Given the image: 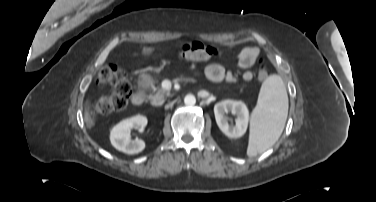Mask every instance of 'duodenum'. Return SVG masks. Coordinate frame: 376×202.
Masks as SVG:
<instances>
[{"mask_svg": "<svg viewBox=\"0 0 376 202\" xmlns=\"http://www.w3.org/2000/svg\"><path fill=\"white\" fill-rule=\"evenodd\" d=\"M144 101V92L142 88L135 91L131 97V102L134 106H139Z\"/></svg>", "mask_w": 376, "mask_h": 202, "instance_id": "obj_1", "label": "duodenum"}]
</instances>
